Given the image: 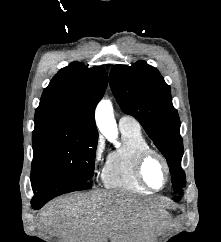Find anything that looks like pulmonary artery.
<instances>
[{
    "mask_svg": "<svg viewBox=\"0 0 221 242\" xmlns=\"http://www.w3.org/2000/svg\"><path fill=\"white\" fill-rule=\"evenodd\" d=\"M119 127L140 130V124L134 118L127 115L119 119Z\"/></svg>",
    "mask_w": 221,
    "mask_h": 242,
    "instance_id": "e3ab8cb5",
    "label": "pulmonary artery"
}]
</instances>
